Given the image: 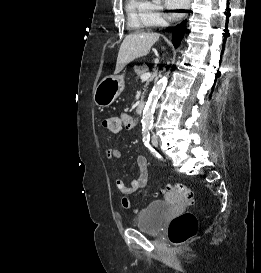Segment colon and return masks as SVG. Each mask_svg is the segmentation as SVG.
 <instances>
[{
  "mask_svg": "<svg viewBox=\"0 0 261 273\" xmlns=\"http://www.w3.org/2000/svg\"><path fill=\"white\" fill-rule=\"evenodd\" d=\"M103 126L112 132L121 129V119L117 116H109L103 120ZM165 192L176 195L185 203L192 205L195 202L194 192L184 184L168 186ZM198 231V222L194 214L185 212L175 217L168 228V236L176 245L184 244L194 238Z\"/></svg>",
  "mask_w": 261,
  "mask_h": 273,
  "instance_id": "obj_1",
  "label": "colon"
}]
</instances>
